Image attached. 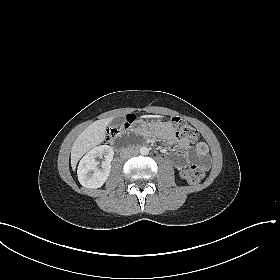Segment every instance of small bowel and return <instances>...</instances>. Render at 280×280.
Here are the masks:
<instances>
[{"mask_svg":"<svg viewBox=\"0 0 280 280\" xmlns=\"http://www.w3.org/2000/svg\"><path fill=\"white\" fill-rule=\"evenodd\" d=\"M159 133L170 141L176 142L177 146L186 150L190 147V142L187 138H178L172 127L169 124L155 125ZM195 153L198 157L200 164L207 169L210 164V158L208 156V146L204 142H198L195 145ZM191 162L190 155L186 154L183 159L176 161L175 167L178 170L184 169Z\"/></svg>","mask_w":280,"mask_h":280,"instance_id":"obj_1","label":"small bowel"}]
</instances>
